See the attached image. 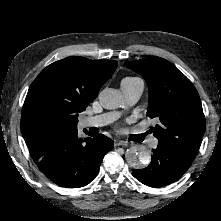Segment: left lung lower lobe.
<instances>
[{"instance_id": "1", "label": "left lung lower lobe", "mask_w": 221, "mask_h": 221, "mask_svg": "<svg viewBox=\"0 0 221 221\" xmlns=\"http://www.w3.org/2000/svg\"><path fill=\"white\" fill-rule=\"evenodd\" d=\"M152 152L149 166L132 172L137 180L150 187H161L177 181L192 164V161L159 145Z\"/></svg>"}]
</instances>
